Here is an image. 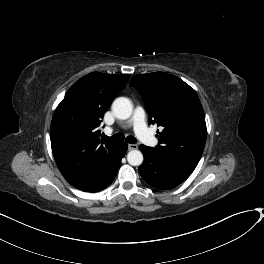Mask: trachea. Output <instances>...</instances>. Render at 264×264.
I'll return each instance as SVG.
<instances>
[{
  "label": "trachea",
  "mask_w": 264,
  "mask_h": 264,
  "mask_svg": "<svg viewBox=\"0 0 264 264\" xmlns=\"http://www.w3.org/2000/svg\"><path fill=\"white\" fill-rule=\"evenodd\" d=\"M112 140H116V141H123L125 139L126 142L131 143V144H135L137 142V139L133 136H127L126 138L124 137L123 134L118 133L113 135L112 137H110Z\"/></svg>",
  "instance_id": "trachea-1"
}]
</instances>
